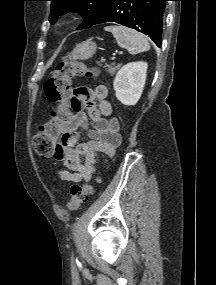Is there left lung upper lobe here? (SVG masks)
Wrapping results in <instances>:
<instances>
[{"label": "left lung upper lobe", "instance_id": "5c2ea615", "mask_svg": "<svg viewBox=\"0 0 216 285\" xmlns=\"http://www.w3.org/2000/svg\"><path fill=\"white\" fill-rule=\"evenodd\" d=\"M51 13L49 21L55 22L62 14L75 11L84 17L78 30L91 27L105 12L112 0H49Z\"/></svg>", "mask_w": 216, "mask_h": 285}]
</instances>
